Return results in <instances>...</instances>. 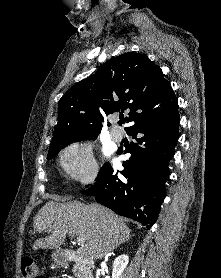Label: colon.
<instances>
[{"mask_svg": "<svg viewBox=\"0 0 221 278\" xmlns=\"http://www.w3.org/2000/svg\"><path fill=\"white\" fill-rule=\"evenodd\" d=\"M20 276L21 278H43L40 275L39 267L36 264L35 260L31 257H25L21 261L20 267ZM52 278H62L60 276H55Z\"/></svg>", "mask_w": 221, "mask_h": 278, "instance_id": "obj_1", "label": "colon"}]
</instances>
